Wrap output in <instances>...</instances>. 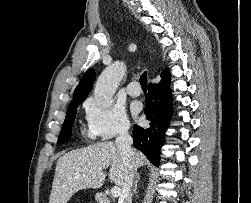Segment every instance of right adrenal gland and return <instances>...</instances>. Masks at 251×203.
<instances>
[{"mask_svg":"<svg viewBox=\"0 0 251 203\" xmlns=\"http://www.w3.org/2000/svg\"><path fill=\"white\" fill-rule=\"evenodd\" d=\"M139 179H140V176L138 174L136 179H135V182H134V189H133L134 194L137 193V183H138Z\"/></svg>","mask_w":251,"mask_h":203,"instance_id":"1","label":"right adrenal gland"}]
</instances>
